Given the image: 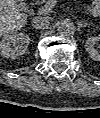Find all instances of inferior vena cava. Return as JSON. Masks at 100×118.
Returning <instances> with one entry per match:
<instances>
[{"label":"inferior vena cava","instance_id":"inferior-vena-cava-1","mask_svg":"<svg viewBox=\"0 0 100 118\" xmlns=\"http://www.w3.org/2000/svg\"><path fill=\"white\" fill-rule=\"evenodd\" d=\"M49 25V18L48 17H35L32 20V26L35 29H45Z\"/></svg>","mask_w":100,"mask_h":118}]
</instances>
